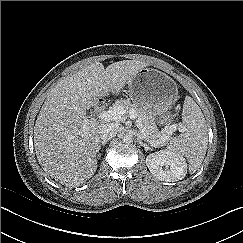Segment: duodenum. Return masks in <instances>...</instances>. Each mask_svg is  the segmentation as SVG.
Instances as JSON below:
<instances>
[{
  "label": "duodenum",
  "mask_w": 243,
  "mask_h": 243,
  "mask_svg": "<svg viewBox=\"0 0 243 243\" xmlns=\"http://www.w3.org/2000/svg\"><path fill=\"white\" fill-rule=\"evenodd\" d=\"M105 104H106L105 99L104 98H99L98 101H97L96 106H97L98 109H102V108L105 107Z\"/></svg>",
  "instance_id": "1"
}]
</instances>
